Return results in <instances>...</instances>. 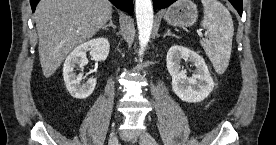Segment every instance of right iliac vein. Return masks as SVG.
<instances>
[{"label": "right iliac vein", "instance_id": "right-iliac-vein-1", "mask_svg": "<svg viewBox=\"0 0 276 145\" xmlns=\"http://www.w3.org/2000/svg\"><path fill=\"white\" fill-rule=\"evenodd\" d=\"M117 143H118V138H117L116 132H115V130H112L109 135L108 144L109 145H117Z\"/></svg>", "mask_w": 276, "mask_h": 145}]
</instances>
